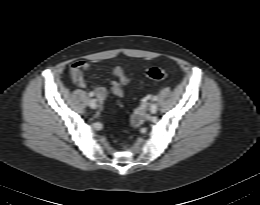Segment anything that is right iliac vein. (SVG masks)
I'll return each instance as SVG.
<instances>
[{
    "label": "right iliac vein",
    "instance_id": "63e3f726",
    "mask_svg": "<svg viewBox=\"0 0 260 205\" xmlns=\"http://www.w3.org/2000/svg\"><path fill=\"white\" fill-rule=\"evenodd\" d=\"M89 106L92 108V109H96L97 108V100L96 99H90L89 102H88Z\"/></svg>",
    "mask_w": 260,
    "mask_h": 205
}]
</instances>
